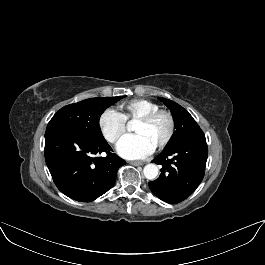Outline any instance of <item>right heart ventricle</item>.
I'll return each instance as SVG.
<instances>
[{"mask_svg":"<svg viewBox=\"0 0 265 265\" xmlns=\"http://www.w3.org/2000/svg\"><path fill=\"white\" fill-rule=\"evenodd\" d=\"M159 109V105L148 99H133L121 104L118 108L119 114L125 122L136 121L141 116Z\"/></svg>","mask_w":265,"mask_h":265,"instance_id":"e07e8e85","label":"right heart ventricle"}]
</instances>
